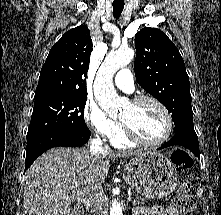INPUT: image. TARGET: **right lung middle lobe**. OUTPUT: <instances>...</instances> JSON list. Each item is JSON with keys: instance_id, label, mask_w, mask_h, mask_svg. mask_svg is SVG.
<instances>
[{"instance_id": "1", "label": "right lung middle lobe", "mask_w": 221, "mask_h": 215, "mask_svg": "<svg viewBox=\"0 0 221 215\" xmlns=\"http://www.w3.org/2000/svg\"><path fill=\"white\" fill-rule=\"evenodd\" d=\"M87 94L57 95L34 102L27 141L59 134L89 131L84 121Z\"/></svg>"}]
</instances>
